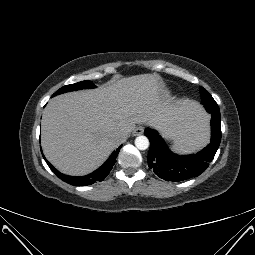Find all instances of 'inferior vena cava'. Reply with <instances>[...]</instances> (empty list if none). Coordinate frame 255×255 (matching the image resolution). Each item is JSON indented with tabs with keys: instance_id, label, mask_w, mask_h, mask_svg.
Here are the masks:
<instances>
[{
	"instance_id": "inferior-vena-cava-1",
	"label": "inferior vena cava",
	"mask_w": 255,
	"mask_h": 255,
	"mask_svg": "<svg viewBox=\"0 0 255 255\" xmlns=\"http://www.w3.org/2000/svg\"><path fill=\"white\" fill-rule=\"evenodd\" d=\"M127 136H128L127 132L123 130H119L114 133V137L119 141L125 139Z\"/></svg>"
}]
</instances>
